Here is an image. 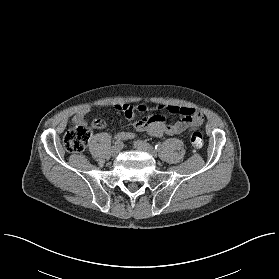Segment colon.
Masks as SVG:
<instances>
[{
    "mask_svg": "<svg viewBox=\"0 0 279 279\" xmlns=\"http://www.w3.org/2000/svg\"><path fill=\"white\" fill-rule=\"evenodd\" d=\"M138 107H133L137 112ZM92 136V129L86 123L80 122L71 126L64 135V146L67 151L78 153L84 150ZM190 143L194 148H201L204 140L200 132H194L190 137Z\"/></svg>",
    "mask_w": 279,
    "mask_h": 279,
    "instance_id": "5ec220e1",
    "label": "colon"
}]
</instances>
